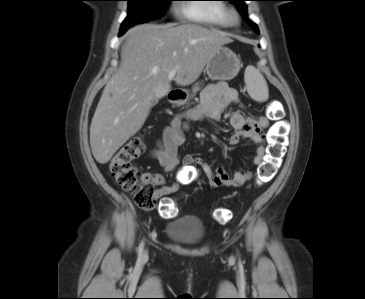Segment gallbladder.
Segmentation results:
<instances>
[{"mask_svg":"<svg viewBox=\"0 0 365 299\" xmlns=\"http://www.w3.org/2000/svg\"><path fill=\"white\" fill-rule=\"evenodd\" d=\"M158 103V100H154L152 103V106L156 105Z\"/></svg>","mask_w":365,"mask_h":299,"instance_id":"obj_1","label":"gallbladder"}]
</instances>
